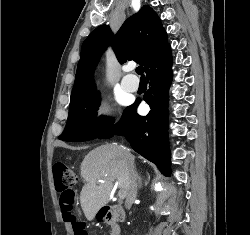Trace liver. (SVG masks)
Wrapping results in <instances>:
<instances>
[{
  "label": "liver",
  "mask_w": 250,
  "mask_h": 235,
  "mask_svg": "<svg viewBox=\"0 0 250 235\" xmlns=\"http://www.w3.org/2000/svg\"><path fill=\"white\" fill-rule=\"evenodd\" d=\"M81 176L85 184L80 203L89 221L109 202L115 180L120 189L128 192L129 166L121 157L120 146L106 144L91 150L81 164Z\"/></svg>",
  "instance_id": "6515ba94"
}]
</instances>
